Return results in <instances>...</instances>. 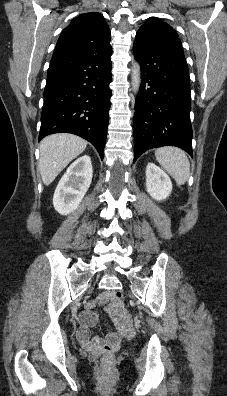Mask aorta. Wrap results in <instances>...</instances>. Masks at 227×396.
<instances>
[{"label": "aorta", "mask_w": 227, "mask_h": 396, "mask_svg": "<svg viewBox=\"0 0 227 396\" xmlns=\"http://www.w3.org/2000/svg\"><path fill=\"white\" fill-rule=\"evenodd\" d=\"M131 79H132L133 91L136 94L139 91L141 84V68H140V64L136 61L133 62Z\"/></svg>", "instance_id": "obj_1"}]
</instances>
